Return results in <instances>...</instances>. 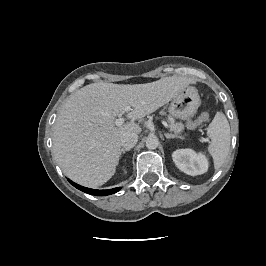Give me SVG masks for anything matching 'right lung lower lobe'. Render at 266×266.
<instances>
[{"label": "right lung lower lobe", "mask_w": 266, "mask_h": 266, "mask_svg": "<svg viewBox=\"0 0 266 266\" xmlns=\"http://www.w3.org/2000/svg\"><path fill=\"white\" fill-rule=\"evenodd\" d=\"M68 181L70 182V184H72L77 189H79L85 193H88L91 195H96V196L110 195V194L116 193L117 191L120 190V188H113V189H108V190H94V189H90V188H86V187H83L81 185H78V184L74 183L73 181H71L70 179H68Z\"/></svg>", "instance_id": "right-lung-lower-lobe-1"}]
</instances>
